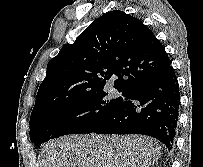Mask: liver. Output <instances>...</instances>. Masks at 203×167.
I'll return each instance as SVG.
<instances>
[{
  "instance_id": "6515ba94",
  "label": "liver",
  "mask_w": 203,
  "mask_h": 167,
  "mask_svg": "<svg viewBox=\"0 0 203 167\" xmlns=\"http://www.w3.org/2000/svg\"><path fill=\"white\" fill-rule=\"evenodd\" d=\"M161 147L139 135H70L48 142L38 167H150Z\"/></svg>"
}]
</instances>
